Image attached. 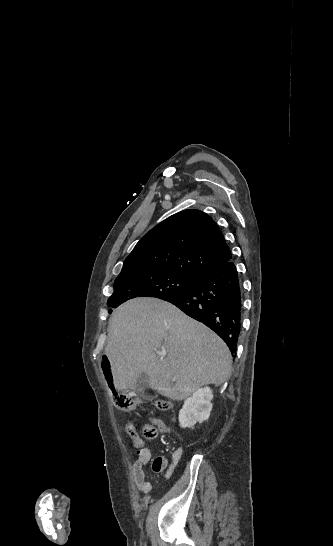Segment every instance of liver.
I'll return each instance as SVG.
<instances>
[{
  "label": "liver",
  "mask_w": 333,
  "mask_h": 546,
  "mask_svg": "<svg viewBox=\"0 0 333 546\" xmlns=\"http://www.w3.org/2000/svg\"><path fill=\"white\" fill-rule=\"evenodd\" d=\"M161 350L165 357L158 355ZM105 354L118 391L134 389L146 373L152 389L179 401L231 376L232 357L224 341L174 305L154 298L131 299L113 312Z\"/></svg>",
  "instance_id": "6515ba94"
}]
</instances>
